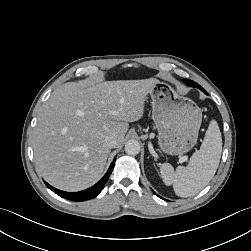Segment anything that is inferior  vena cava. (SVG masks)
Masks as SVG:
<instances>
[{
	"mask_svg": "<svg viewBox=\"0 0 251 251\" xmlns=\"http://www.w3.org/2000/svg\"><path fill=\"white\" fill-rule=\"evenodd\" d=\"M104 141L105 144L110 148H115L118 145L117 136L115 134L107 136Z\"/></svg>",
	"mask_w": 251,
	"mask_h": 251,
	"instance_id": "inferior-vena-cava-1",
	"label": "inferior vena cava"
}]
</instances>
